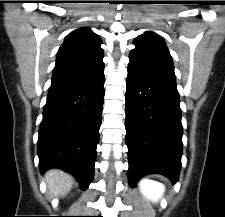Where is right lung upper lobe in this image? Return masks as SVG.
<instances>
[{"label":"right lung upper lobe","mask_w":225,"mask_h":217,"mask_svg":"<svg viewBox=\"0 0 225 217\" xmlns=\"http://www.w3.org/2000/svg\"><path fill=\"white\" fill-rule=\"evenodd\" d=\"M100 37L88 27L72 31L57 53L49 90L86 85L104 76Z\"/></svg>","instance_id":"cb5924a9"}]
</instances>
